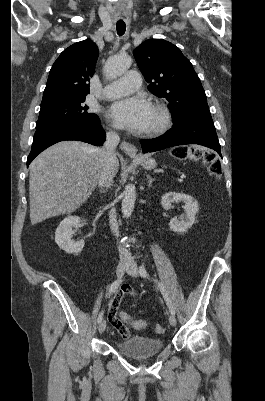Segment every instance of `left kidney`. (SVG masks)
<instances>
[{"instance_id":"obj_1","label":"left kidney","mask_w":265,"mask_h":401,"mask_svg":"<svg viewBox=\"0 0 265 401\" xmlns=\"http://www.w3.org/2000/svg\"><path fill=\"white\" fill-rule=\"evenodd\" d=\"M174 201H183L185 203V213L181 217V221H178L177 217L171 219L169 225L171 231L175 233H186L192 225H194L195 215L198 211V201L191 194H184V192H165L161 198V205L165 211L172 209L171 203Z\"/></svg>"}]
</instances>
